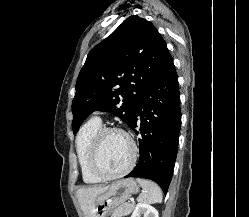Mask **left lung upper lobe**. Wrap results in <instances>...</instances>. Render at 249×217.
<instances>
[{
    "label": "left lung upper lobe",
    "mask_w": 249,
    "mask_h": 217,
    "mask_svg": "<svg viewBox=\"0 0 249 217\" xmlns=\"http://www.w3.org/2000/svg\"><path fill=\"white\" fill-rule=\"evenodd\" d=\"M169 55L151 22L137 15L128 17L89 52L79 73L72 102L74 134L96 110L117 115L130 125L139 99Z\"/></svg>",
    "instance_id": "1"
}]
</instances>
